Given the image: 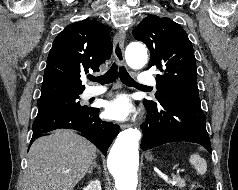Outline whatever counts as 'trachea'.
Segmentation results:
<instances>
[{
  "label": "trachea",
  "instance_id": "1",
  "mask_svg": "<svg viewBox=\"0 0 238 190\" xmlns=\"http://www.w3.org/2000/svg\"><path fill=\"white\" fill-rule=\"evenodd\" d=\"M117 77L120 78V80L127 86H135L138 88H146V89H150V87L148 86H143L140 85L138 83H136L132 77L129 75V73L127 72L125 67H120L119 71H118V67L116 64H113L110 69L103 75V76H99V77H93V76H89V80L91 81H97L100 84H109L114 82Z\"/></svg>",
  "mask_w": 238,
  "mask_h": 190
}]
</instances>
